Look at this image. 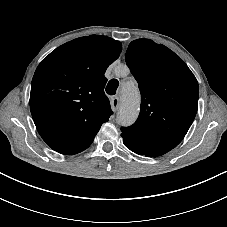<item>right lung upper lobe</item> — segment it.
<instances>
[{
  "label": "right lung upper lobe",
  "mask_w": 227,
  "mask_h": 227,
  "mask_svg": "<svg viewBox=\"0 0 227 227\" xmlns=\"http://www.w3.org/2000/svg\"><path fill=\"white\" fill-rule=\"evenodd\" d=\"M122 51L107 36L77 38L51 52L37 67L30 109L43 140L62 154L87 149L113 113L104 73Z\"/></svg>",
  "instance_id": "obj_1"
}]
</instances>
